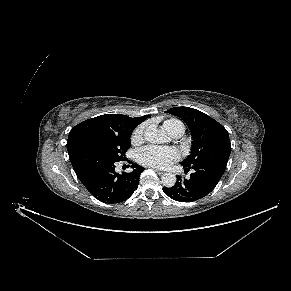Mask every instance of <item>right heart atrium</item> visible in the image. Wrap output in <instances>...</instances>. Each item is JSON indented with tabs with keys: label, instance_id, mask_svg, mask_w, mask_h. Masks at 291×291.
Returning a JSON list of instances; mask_svg holds the SVG:
<instances>
[{
	"label": "right heart atrium",
	"instance_id": "obj_1",
	"mask_svg": "<svg viewBox=\"0 0 291 291\" xmlns=\"http://www.w3.org/2000/svg\"><path fill=\"white\" fill-rule=\"evenodd\" d=\"M144 126L137 127L131 135V143L137 145L143 140Z\"/></svg>",
	"mask_w": 291,
	"mask_h": 291
}]
</instances>
